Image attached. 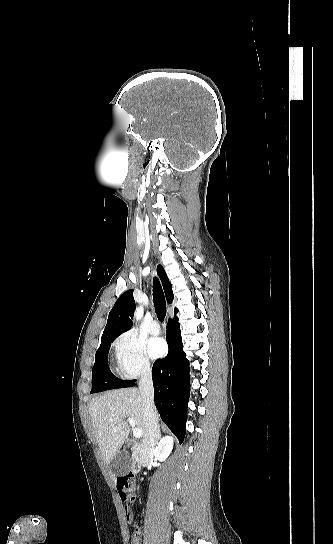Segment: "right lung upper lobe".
<instances>
[{
  "instance_id": "cb5924a9",
  "label": "right lung upper lobe",
  "mask_w": 333,
  "mask_h": 544,
  "mask_svg": "<svg viewBox=\"0 0 333 544\" xmlns=\"http://www.w3.org/2000/svg\"><path fill=\"white\" fill-rule=\"evenodd\" d=\"M157 272L161 278L166 299L169 303L173 301L172 285L161 265H158ZM135 310V301L133 298V290L124 292L116 301L114 307L109 313L108 320L102 339L117 337L120 334L128 331L132 326V318ZM178 309L175 308V313Z\"/></svg>"
}]
</instances>
